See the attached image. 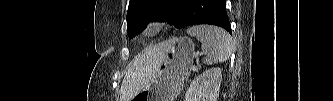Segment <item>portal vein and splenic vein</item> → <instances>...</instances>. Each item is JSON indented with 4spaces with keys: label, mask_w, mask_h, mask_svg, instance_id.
<instances>
[{
    "label": "portal vein and splenic vein",
    "mask_w": 333,
    "mask_h": 101,
    "mask_svg": "<svg viewBox=\"0 0 333 101\" xmlns=\"http://www.w3.org/2000/svg\"><path fill=\"white\" fill-rule=\"evenodd\" d=\"M199 55H202V53H200ZM191 69H192L193 71H197V67H196L195 65H192Z\"/></svg>",
    "instance_id": "obj_1"
}]
</instances>
